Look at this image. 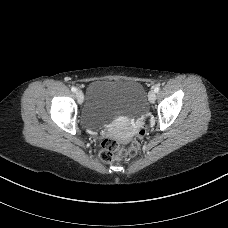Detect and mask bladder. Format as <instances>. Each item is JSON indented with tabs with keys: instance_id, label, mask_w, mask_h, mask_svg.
Segmentation results:
<instances>
[{
	"instance_id": "31cf9c89",
	"label": "bladder",
	"mask_w": 228,
	"mask_h": 228,
	"mask_svg": "<svg viewBox=\"0 0 228 228\" xmlns=\"http://www.w3.org/2000/svg\"><path fill=\"white\" fill-rule=\"evenodd\" d=\"M145 112L146 91L141 83L133 80H96L87 87L82 122L95 128L122 116L134 118Z\"/></svg>"
}]
</instances>
